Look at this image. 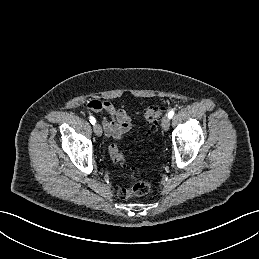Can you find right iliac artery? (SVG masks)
Wrapping results in <instances>:
<instances>
[{
  "instance_id": "82829eb1",
  "label": "right iliac artery",
  "mask_w": 259,
  "mask_h": 259,
  "mask_svg": "<svg viewBox=\"0 0 259 259\" xmlns=\"http://www.w3.org/2000/svg\"><path fill=\"white\" fill-rule=\"evenodd\" d=\"M89 120H90L91 124H93V125L96 123V120L93 116H90Z\"/></svg>"
}]
</instances>
